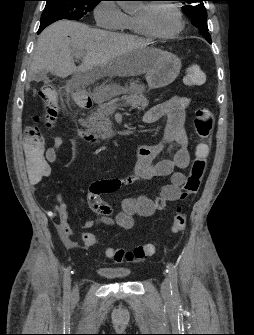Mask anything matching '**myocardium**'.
Segmentation results:
<instances>
[{
	"label": "myocardium",
	"instance_id": "obj_1",
	"mask_svg": "<svg viewBox=\"0 0 254 335\" xmlns=\"http://www.w3.org/2000/svg\"><path fill=\"white\" fill-rule=\"evenodd\" d=\"M156 5H166L174 11V13L177 16V20H178V25H177V27L174 31H172L170 33L156 32L150 27L147 20L143 16H137L136 15L137 23L139 24L141 29L144 31V33L151 36V37L158 38V39H173V38L177 37L183 31V29L185 27V23H184V19H183V15H182L181 10L173 2H167V1H162V2L160 1V2H153V3H149V4H144V7H145L146 10H150Z\"/></svg>",
	"mask_w": 254,
	"mask_h": 335
}]
</instances>
